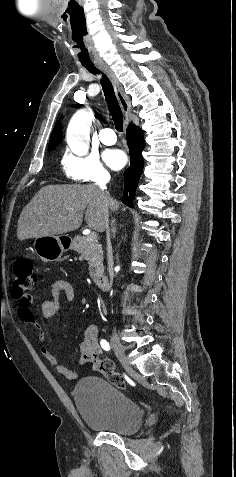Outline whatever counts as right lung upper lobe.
I'll list each match as a JSON object with an SVG mask.
<instances>
[{"mask_svg":"<svg viewBox=\"0 0 236 477\" xmlns=\"http://www.w3.org/2000/svg\"><path fill=\"white\" fill-rule=\"evenodd\" d=\"M62 139V132H61V126L58 124L55 126L53 129L50 142H49V149H52L54 146L59 144V142Z\"/></svg>","mask_w":236,"mask_h":477,"instance_id":"cb5924a9","label":"right lung upper lobe"}]
</instances>
